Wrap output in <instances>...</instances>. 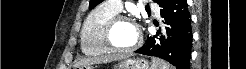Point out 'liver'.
<instances>
[{"label":"liver","mask_w":246,"mask_h":69,"mask_svg":"<svg viewBox=\"0 0 246 69\" xmlns=\"http://www.w3.org/2000/svg\"><path fill=\"white\" fill-rule=\"evenodd\" d=\"M122 58L123 56H119V55H107V56H101V57L86 58V59L79 61L75 65V67L78 68V67L87 66L90 64L112 62V61L119 60Z\"/></svg>","instance_id":"6515ba94"}]
</instances>
